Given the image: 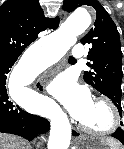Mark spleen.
<instances>
[{
	"instance_id": "obj_1",
	"label": "spleen",
	"mask_w": 124,
	"mask_h": 149,
	"mask_svg": "<svg viewBox=\"0 0 124 149\" xmlns=\"http://www.w3.org/2000/svg\"><path fill=\"white\" fill-rule=\"evenodd\" d=\"M114 148L118 149L117 145L112 141Z\"/></svg>"
}]
</instances>
